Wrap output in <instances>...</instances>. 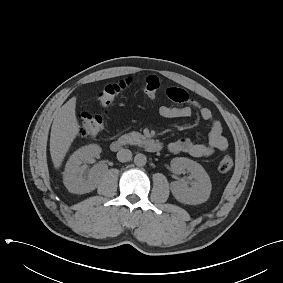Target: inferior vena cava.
<instances>
[{"instance_id": "inferior-vena-cava-1", "label": "inferior vena cava", "mask_w": 283, "mask_h": 283, "mask_svg": "<svg viewBox=\"0 0 283 283\" xmlns=\"http://www.w3.org/2000/svg\"><path fill=\"white\" fill-rule=\"evenodd\" d=\"M117 159L120 162H127L132 159V152L129 149H120L117 153Z\"/></svg>"}]
</instances>
